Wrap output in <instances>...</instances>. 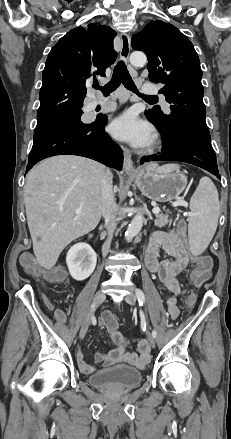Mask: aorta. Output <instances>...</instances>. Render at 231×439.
<instances>
[{
  "label": "aorta",
  "mask_w": 231,
  "mask_h": 439,
  "mask_svg": "<svg viewBox=\"0 0 231 439\" xmlns=\"http://www.w3.org/2000/svg\"><path fill=\"white\" fill-rule=\"evenodd\" d=\"M130 63L134 67H141L147 63L146 55L141 51H135L130 55ZM143 226V216L141 213H138L130 222L128 229L125 233L127 238H132L136 236Z\"/></svg>",
  "instance_id": "1"
}]
</instances>
